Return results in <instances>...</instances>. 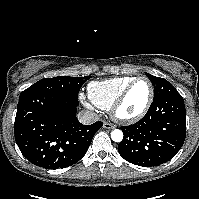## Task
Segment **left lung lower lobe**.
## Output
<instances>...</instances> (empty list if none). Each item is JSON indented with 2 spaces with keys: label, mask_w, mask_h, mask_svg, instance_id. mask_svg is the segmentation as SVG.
<instances>
[{
  "label": "left lung lower lobe",
  "mask_w": 199,
  "mask_h": 199,
  "mask_svg": "<svg viewBox=\"0 0 199 199\" xmlns=\"http://www.w3.org/2000/svg\"><path fill=\"white\" fill-rule=\"evenodd\" d=\"M124 138L119 154L130 163L151 167L172 159L186 136V110L182 96L162 97L152 102L137 123L122 126Z\"/></svg>",
  "instance_id": "obj_1"
}]
</instances>
